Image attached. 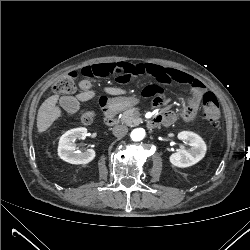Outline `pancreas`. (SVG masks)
I'll list each match as a JSON object with an SVG mask.
<instances>
[{
	"mask_svg": "<svg viewBox=\"0 0 250 250\" xmlns=\"http://www.w3.org/2000/svg\"><path fill=\"white\" fill-rule=\"evenodd\" d=\"M140 113L137 108H131L124 112V114L121 117V122L133 126L137 125L140 122Z\"/></svg>",
	"mask_w": 250,
	"mask_h": 250,
	"instance_id": "1",
	"label": "pancreas"
}]
</instances>
